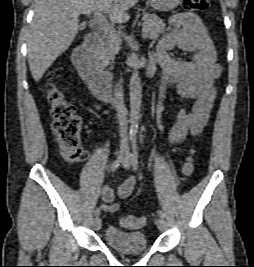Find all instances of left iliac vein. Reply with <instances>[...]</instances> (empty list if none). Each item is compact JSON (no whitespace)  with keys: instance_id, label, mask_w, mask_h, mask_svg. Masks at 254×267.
<instances>
[{"instance_id":"obj_1","label":"left iliac vein","mask_w":254,"mask_h":267,"mask_svg":"<svg viewBox=\"0 0 254 267\" xmlns=\"http://www.w3.org/2000/svg\"><path fill=\"white\" fill-rule=\"evenodd\" d=\"M122 165L125 169H129L131 165V157L129 155V150L127 147L124 148L122 156H121ZM156 225L161 231H165L167 229V224L164 218L159 217L156 219Z\"/></svg>"}]
</instances>
